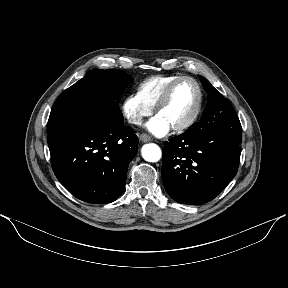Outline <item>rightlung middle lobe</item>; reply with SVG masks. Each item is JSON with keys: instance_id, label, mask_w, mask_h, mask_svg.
<instances>
[{"instance_id": "right-lung-middle-lobe-1", "label": "right lung middle lobe", "mask_w": 288, "mask_h": 288, "mask_svg": "<svg viewBox=\"0 0 288 288\" xmlns=\"http://www.w3.org/2000/svg\"><path fill=\"white\" fill-rule=\"evenodd\" d=\"M132 81L131 76L121 70L88 71L56 100L49 119L73 105L90 101L100 106L114 121L123 122L118 103L123 91Z\"/></svg>"}]
</instances>
